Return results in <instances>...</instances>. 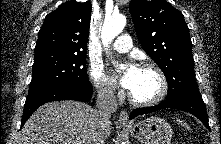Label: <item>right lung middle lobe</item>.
Masks as SVG:
<instances>
[{"label": "right lung middle lobe", "mask_w": 221, "mask_h": 144, "mask_svg": "<svg viewBox=\"0 0 221 144\" xmlns=\"http://www.w3.org/2000/svg\"><path fill=\"white\" fill-rule=\"evenodd\" d=\"M61 84L89 85L86 53L43 52L35 54L33 76L27 96L31 98L52 86Z\"/></svg>", "instance_id": "1"}]
</instances>
